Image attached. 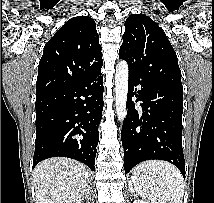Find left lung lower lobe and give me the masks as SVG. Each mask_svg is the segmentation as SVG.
<instances>
[{"instance_id": "left-lung-lower-lobe-1", "label": "left lung lower lobe", "mask_w": 214, "mask_h": 203, "mask_svg": "<svg viewBox=\"0 0 214 203\" xmlns=\"http://www.w3.org/2000/svg\"><path fill=\"white\" fill-rule=\"evenodd\" d=\"M133 97L142 102L143 112L134 108ZM127 100L128 111L121 132L125 173L140 162L158 159L174 164L185 179L181 140L183 92L129 73Z\"/></svg>"}]
</instances>
